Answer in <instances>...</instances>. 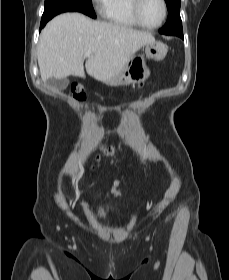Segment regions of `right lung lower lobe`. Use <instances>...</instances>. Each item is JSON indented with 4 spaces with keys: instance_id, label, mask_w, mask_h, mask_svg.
Masks as SVG:
<instances>
[{
    "instance_id": "right-lung-lower-lobe-1",
    "label": "right lung lower lobe",
    "mask_w": 229,
    "mask_h": 280,
    "mask_svg": "<svg viewBox=\"0 0 229 280\" xmlns=\"http://www.w3.org/2000/svg\"><path fill=\"white\" fill-rule=\"evenodd\" d=\"M49 20L41 19L40 30L46 25Z\"/></svg>"
}]
</instances>
